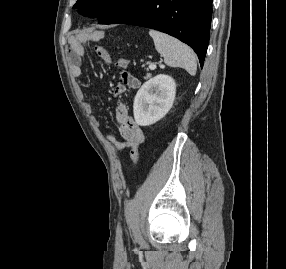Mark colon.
<instances>
[{
  "label": "colon",
  "mask_w": 286,
  "mask_h": 269,
  "mask_svg": "<svg viewBox=\"0 0 286 269\" xmlns=\"http://www.w3.org/2000/svg\"><path fill=\"white\" fill-rule=\"evenodd\" d=\"M98 52H101L100 47H95ZM127 66H131V61L126 58H122L118 61V70H123L121 72V79L123 83H117V88H140L139 78L133 77L125 69Z\"/></svg>",
  "instance_id": "5ec220e1"
}]
</instances>
